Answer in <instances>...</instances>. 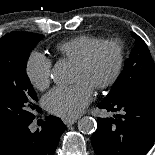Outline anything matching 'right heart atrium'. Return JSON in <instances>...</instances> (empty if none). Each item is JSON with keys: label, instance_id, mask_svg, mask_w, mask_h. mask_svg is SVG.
Instances as JSON below:
<instances>
[{"label": "right heart atrium", "instance_id": "obj_1", "mask_svg": "<svg viewBox=\"0 0 155 155\" xmlns=\"http://www.w3.org/2000/svg\"><path fill=\"white\" fill-rule=\"evenodd\" d=\"M25 72L34 88L44 90L51 80L52 61L42 53L33 51L26 61Z\"/></svg>", "mask_w": 155, "mask_h": 155}]
</instances>
